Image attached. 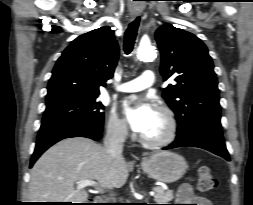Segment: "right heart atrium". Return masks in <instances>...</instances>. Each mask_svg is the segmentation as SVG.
<instances>
[{
	"instance_id": "right-heart-atrium-1",
	"label": "right heart atrium",
	"mask_w": 253,
	"mask_h": 205,
	"mask_svg": "<svg viewBox=\"0 0 253 205\" xmlns=\"http://www.w3.org/2000/svg\"><path fill=\"white\" fill-rule=\"evenodd\" d=\"M107 132L114 139H126L128 136L126 122L119 118L115 113H111L107 120Z\"/></svg>"
}]
</instances>
